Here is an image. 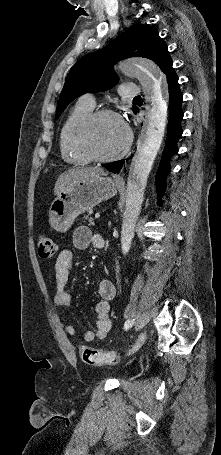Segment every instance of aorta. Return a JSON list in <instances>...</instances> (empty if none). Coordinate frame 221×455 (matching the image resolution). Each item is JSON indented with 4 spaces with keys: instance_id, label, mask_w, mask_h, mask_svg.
<instances>
[{
    "instance_id": "762f6f07",
    "label": "aorta",
    "mask_w": 221,
    "mask_h": 455,
    "mask_svg": "<svg viewBox=\"0 0 221 455\" xmlns=\"http://www.w3.org/2000/svg\"><path fill=\"white\" fill-rule=\"evenodd\" d=\"M118 70L139 79L148 103L140 142L132 159L127 179L126 204L121 230L122 251L126 254L134 236L147 178L165 134L168 102L165 76L152 61L146 59L125 61L118 65Z\"/></svg>"
}]
</instances>
